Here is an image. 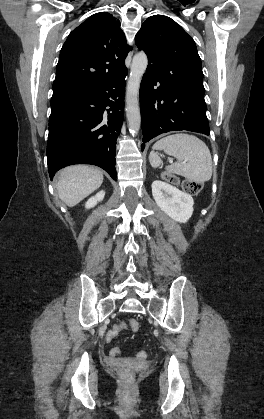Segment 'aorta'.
I'll use <instances>...</instances> for the list:
<instances>
[{
    "instance_id": "1",
    "label": "aorta",
    "mask_w": 264,
    "mask_h": 419,
    "mask_svg": "<svg viewBox=\"0 0 264 419\" xmlns=\"http://www.w3.org/2000/svg\"><path fill=\"white\" fill-rule=\"evenodd\" d=\"M147 65L148 58L144 52H139L133 57L126 91V116L132 135L138 133L141 125L138 95L141 78Z\"/></svg>"
}]
</instances>
